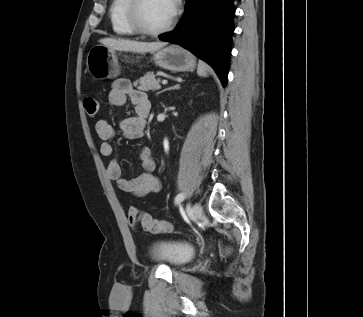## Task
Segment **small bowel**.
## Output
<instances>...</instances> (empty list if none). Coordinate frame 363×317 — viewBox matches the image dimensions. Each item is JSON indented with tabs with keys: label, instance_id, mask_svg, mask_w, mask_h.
I'll return each instance as SVG.
<instances>
[{
	"label": "small bowel",
	"instance_id": "c3829d8e",
	"mask_svg": "<svg viewBox=\"0 0 363 317\" xmlns=\"http://www.w3.org/2000/svg\"><path fill=\"white\" fill-rule=\"evenodd\" d=\"M128 99L135 106V116L124 118L119 127L126 139H140L144 136L146 118L151 108L150 101L144 92L134 89L129 80L117 79L109 91V103L114 106H124ZM95 132L102 140L101 154L110 159L107 165L108 178L121 191L136 197H145L161 190V181L154 174L155 161L150 148L146 146L139 148L138 156L143 171L136 178L128 180L123 176L121 163L116 157L115 147L111 142L116 137L114 127L106 120H98L95 124Z\"/></svg>",
	"mask_w": 363,
	"mask_h": 317
}]
</instances>
